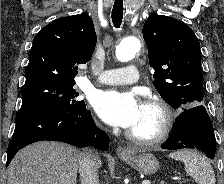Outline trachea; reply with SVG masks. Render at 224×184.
<instances>
[{
	"label": "trachea",
	"mask_w": 224,
	"mask_h": 184,
	"mask_svg": "<svg viewBox=\"0 0 224 184\" xmlns=\"http://www.w3.org/2000/svg\"><path fill=\"white\" fill-rule=\"evenodd\" d=\"M112 22L116 28H119L123 19V1L116 0L112 9Z\"/></svg>",
	"instance_id": "3493384b"
}]
</instances>
